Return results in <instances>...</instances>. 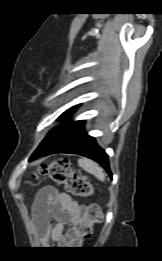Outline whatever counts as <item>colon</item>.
<instances>
[{"label": "colon", "instance_id": "1", "mask_svg": "<svg viewBox=\"0 0 162 261\" xmlns=\"http://www.w3.org/2000/svg\"><path fill=\"white\" fill-rule=\"evenodd\" d=\"M38 174H48L55 184L64 186L65 190L75 197L84 198L93 193V186L87 177L81 171L73 169L68 159L59 158L50 164L42 165L35 176ZM101 221L102 212L99 205L86 206L74 227L75 243L79 244L82 240L89 239L93 224Z\"/></svg>", "mask_w": 162, "mask_h": 261}]
</instances>
